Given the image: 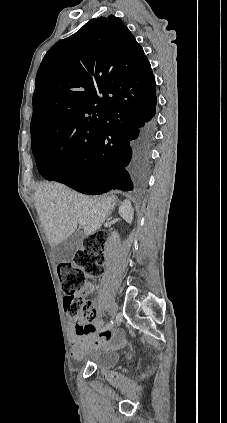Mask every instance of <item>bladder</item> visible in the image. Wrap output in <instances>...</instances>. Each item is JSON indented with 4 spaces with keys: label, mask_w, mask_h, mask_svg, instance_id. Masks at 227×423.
<instances>
[{
    "label": "bladder",
    "mask_w": 227,
    "mask_h": 423,
    "mask_svg": "<svg viewBox=\"0 0 227 423\" xmlns=\"http://www.w3.org/2000/svg\"><path fill=\"white\" fill-rule=\"evenodd\" d=\"M120 354L116 351L97 352L88 361L87 364L100 370H111L119 364Z\"/></svg>",
    "instance_id": "1"
}]
</instances>
